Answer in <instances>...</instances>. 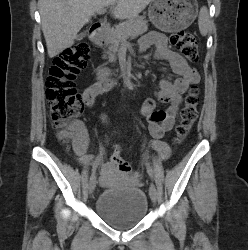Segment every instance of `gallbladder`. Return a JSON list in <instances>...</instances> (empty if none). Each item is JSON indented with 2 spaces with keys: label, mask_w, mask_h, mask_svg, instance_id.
Segmentation results:
<instances>
[{
  "label": "gallbladder",
  "mask_w": 248,
  "mask_h": 250,
  "mask_svg": "<svg viewBox=\"0 0 248 250\" xmlns=\"http://www.w3.org/2000/svg\"><path fill=\"white\" fill-rule=\"evenodd\" d=\"M82 37H83V34H79V35H77V37H76V39H82Z\"/></svg>",
  "instance_id": "obj_1"
}]
</instances>
